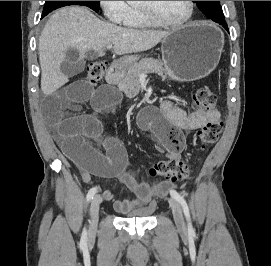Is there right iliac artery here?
I'll use <instances>...</instances> for the list:
<instances>
[{
    "label": "right iliac artery",
    "instance_id": "1",
    "mask_svg": "<svg viewBox=\"0 0 271 266\" xmlns=\"http://www.w3.org/2000/svg\"><path fill=\"white\" fill-rule=\"evenodd\" d=\"M96 192H97V188L96 187L91 188L88 191V194H87V197H86L87 201H90L91 199H93V197L96 194ZM81 241L82 242H86L87 241V231H86V229L83 230Z\"/></svg>",
    "mask_w": 271,
    "mask_h": 266
}]
</instances>
